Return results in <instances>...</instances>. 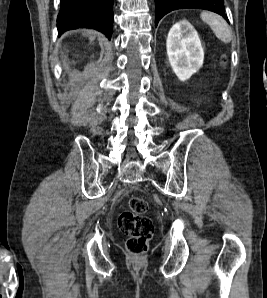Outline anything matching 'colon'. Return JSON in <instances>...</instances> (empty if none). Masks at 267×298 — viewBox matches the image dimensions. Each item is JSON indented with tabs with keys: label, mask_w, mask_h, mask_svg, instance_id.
I'll return each mask as SVG.
<instances>
[{
	"label": "colon",
	"mask_w": 267,
	"mask_h": 298,
	"mask_svg": "<svg viewBox=\"0 0 267 298\" xmlns=\"http://www.w3.org/2000/svg\"><path fill=\"white\" fill-rule=\"evenodd\" d=\"M147 211V201L133 197L129 200L128 207L118 216V227L127 236V251L136 257L146 253L154 234V223L147 216Z\"/></svg>",
	"instance_id": "obj_1"
}]
</instances>
